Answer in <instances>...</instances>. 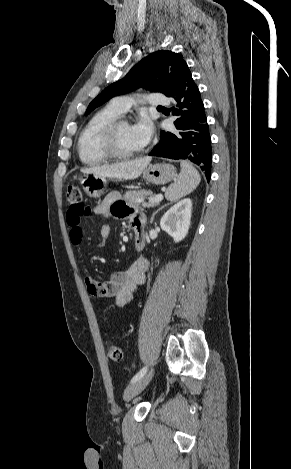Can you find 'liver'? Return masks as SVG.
<instances>
[{
    "label": "liver",
    "mask_w": 291,
    "mask_h": 469,
    "mask_svg": "<svg viewBox=\"0 0 291 469\" xmlns=\"http://www.w3.org/2000/svg\"><path fill=\"white\" fill-rule=\"evenodd\" d=\"M150 156H145L136 160L125 161L118 164L95 166L82 169L84 174H94L96 176L132 180L138 178L151 161Z\"/></svg>",
    "instance_id": "1"
}]
</instances>
